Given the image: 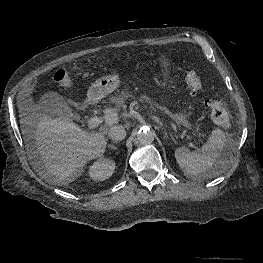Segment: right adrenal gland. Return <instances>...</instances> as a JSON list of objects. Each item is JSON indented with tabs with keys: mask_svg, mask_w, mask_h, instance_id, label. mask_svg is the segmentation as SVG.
<instances>
[{
	"mask_svg": "<svg viewBox=\"0 0 263 263\" xmlns=\"http://www.w3.org/2000/svg\"><path fill=\"white\" fill-rule=\"evenodd\" d=\"M109 147H110L111 149H113V150H116V149H117V147H115L114 144L109 145Z\"/></svg>",
	"mask_w": 263,
	"mask_h": 263,
	"instance_id": "right-adrenal-gland-1",
	"label": "right adrenal gland"
}]
</instances>
